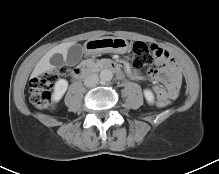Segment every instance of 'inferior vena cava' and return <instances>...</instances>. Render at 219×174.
Here are the masks:
<instances>
[{
	"instance_id": "obj_1",
	"label": "inferior vena cava",
	"mask_w": 219,
	"mask_h": 174,
	"mask_svg": "<svg viewBox=\"0 0 219 174\" xmlns=\"http://www.w3.org/2000/svg\"><path fill=\"white\" fill-rule=\"evenodd\" d=\"M98 80H99L98 75L95 73H92L84 79V84L86 87H94L97 85Z\"/></svg>"
}]
</instances>
